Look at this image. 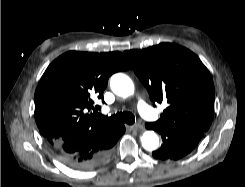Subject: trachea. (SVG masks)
Instances as JSON below:
<instances>
[{
    "mask_svg": "<svg viewBox=\"0 0 245 187\" xmlns=\"http://www.w3.org/2000/svg\"><path fill=\"white\" fill-rule=\"evenodd\" d=\"M97 117L112 124H123L127 123L129 125L134 124L135 117L131 112H118L114 115H111L110 117L104 116L102 114H97Z\"/></svg>",
    "mask_w": 245,
    "mask_h": 187,
    "instance_id": "trachea-1",
    "label": "trachea"
}]
</instances>
